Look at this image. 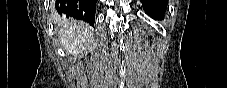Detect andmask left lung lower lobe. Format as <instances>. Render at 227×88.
<instances>
[{"instance_id":"left-lung-lower-lobe-1","label":"left lung lower lobe","mask_w":227,"mask_h":88,"mask_svg":"<svg viewBox=\"0 0 227 88\" xmlns=\"http://www.w3.org/2000/svg\"><path fill=\"white\" fill-rule=\"evenodd\" d=\"M145 12L153 19L162 20L168 0H141Z\"/></svg>"}]
</instances>
